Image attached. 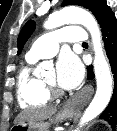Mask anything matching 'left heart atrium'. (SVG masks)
Returning a JSON list of instances; mask_svg holds the SVG:
<instances>
[{
	"mask_svg": "<svg viewBox=\"0 0 117 131\" xmlns=\"http://www.w3.org/2000/svg\"><path fill=\"white\" fill-rule=\"evenodd\" d=\"M56 79L64 89H73L80 84L84 76V68L79 58L70 52L63 53L57 62Z\"/></svg>",
	"mask_w": 117,
	"mask_h": 131,
	"instance_id": "obj_1",
	"label": "left heart atrium"
}]
</instances>
